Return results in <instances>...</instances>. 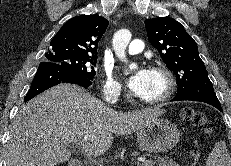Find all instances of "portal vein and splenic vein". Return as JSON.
<instances>
[{"label": "portal vein and splenic vein", "mask_w": 231, "mask_h": 166, "mask_svg": "<svg viewBox=\"0 0 231 166\" xmlns=\"http://www.w3.org/2000/svg\"><path fill=\"white\" fill-rule=\"evenodd\" d=\"M137 161L140 162V163H145L147 160H146V158H144V157H139V158L137 159Z\"/></svg>", "instance_id": "obj_1"}]
</instances>
